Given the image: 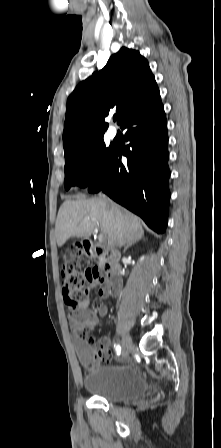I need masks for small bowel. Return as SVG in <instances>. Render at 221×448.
<instances>
[{
    "label": "small bowel",
    "instance_id": "1",
    "mask_svg": "<svg viewBox=\"0 0 221 448\" xmlns=\"http://www.w3.org/2000/svg\"><path fill=\"white\" fill-rule=\"evenodd\" d=\"M96 287H98V294L101 297L108 296L103 285L99 286L98 282L91 283L84 299L76 307H68V324L72 334L73 346L81 363L91 367H94L100 359L109 361L113 358L108 348L101 347L98 351H95L85 340L86 332L98 326L99 317H105L108 314V307L105 304L98 305L96 312L89 308L91 302L90 289Z\"/></svg>",
    "mask_w": 221,
    "mask_h": 448
}]
</instances>
